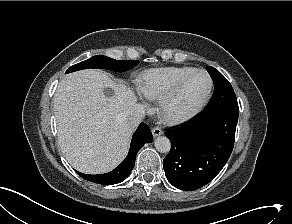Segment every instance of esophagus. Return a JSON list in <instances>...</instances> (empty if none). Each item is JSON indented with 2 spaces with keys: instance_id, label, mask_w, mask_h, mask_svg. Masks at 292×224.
Wrapping results in <instances>:
<instances>
[{
  "instance_id": "1",
  "label": "esophagus",
  "mask_w": 292,
  "mask_h": 224,
  "mask_svg": "<svg viewBox=\"0 0 292 224\" xmlns=\"http://www.w3.org/2000/svg\"><path fill=\"white\" fill-rule=\"evenodd\" d=\"M152 134L154 137L160 136L161 134H163V131L160 127H154L152 128Z\"/></svg>"
}]
</instances>
